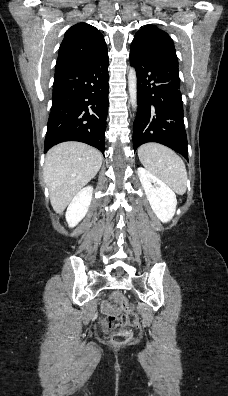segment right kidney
Segmentation results:
<instances>
[{"label": "right kidney", "instance_id": "1", "mask_svg": "<svg viewBox=\"0 0 228 396\" xmlns=\"http://www.w3.org/2000/svg\"><path fill=\"white\" fill-rule=\"evenodd\" d=\"M92 194V186H87L75 195L65 215L69 227H75L85 217L91 204Z\"/></svg>", "mask_w": 228, "mask_h": 396}]
</instances>
